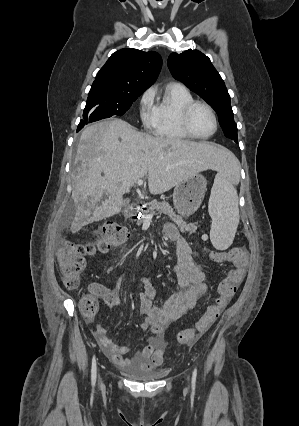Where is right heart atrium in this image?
Instances as JSON below:
<instances>
[{"label": "right heart atrium", "mask_w": 299, "mask_h": 426, "mask_svg": "<svg viewBox=\"0 0 299 426\" xmlns=\"http://www.w3.org/2000/svg\"><path fill=\"white\" fill-rule=\"evenodd\" d=\"M154 90L147 89L139 100V115L140 119L147 129H152L156 121V108L153 104Z\"/></svg>", "instance_id": "d8ad5b80"}]
</instances>
